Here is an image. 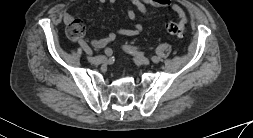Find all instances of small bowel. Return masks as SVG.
Here are the masks:
<instances>
[{
	"instance_id": "c3829d8e",
	"label": "small bowel",
	"mask_w": 253,
	"mask_h": 138,
	"mask_svg": "<svg viewBox=\"0 0 253 138\" xmlns=\"http://www.w3.org/2000/svg\"><path fill=\"white\" fill-rule=\"evenodd\" d=\"M118 0H99L101 3L110 2L112 4L117 3ZM136 11L140 13L143 17L148 15V8H168L170 7L172 11L177 15L182 23L187 22V16L183 10V8L177 4L173 3L172 0H130ZM133 9L127 10V17L133 22V25L130 28H123L117 31H112L108 33L106 36L100 38H94L91 40V44L93 47L101 49L106 47L109 43L114 41L117 35H125V36H134L138 35L142 31V25L138 22L137 13ZM64 22L69 24L74 20V16L71 12L66 11L63 15ZM80 45L86 51H90V48L86 45L83 40L79 41Z\"/></svg>"
}]
</instances>
